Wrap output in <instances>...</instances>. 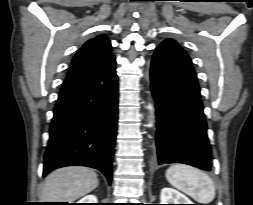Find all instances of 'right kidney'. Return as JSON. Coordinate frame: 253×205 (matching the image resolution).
I'll use <instances>...</instances> for the list:
<instances>
[{"label":"right kidney","mask_w":253,"mask_h":205,"mask_svg":"<svg viewBox=\"0 0 253 205\" xmlns=\"http://www.w3.org/2000/svg\"><path fill=\"white\" fill-rule=\"evenodd\" d=\"M77 203H98V201L95 195L90 194L81 198Z\"/></svg>","instance_id":"1"}]
</instances>
